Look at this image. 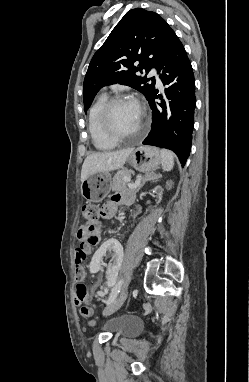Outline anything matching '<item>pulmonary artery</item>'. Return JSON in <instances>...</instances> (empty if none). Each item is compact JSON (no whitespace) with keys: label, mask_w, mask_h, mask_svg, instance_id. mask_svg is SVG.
Masks as SVG:
<instances>
[{"label":"pulmonary artery","mask_w":249,"mask_h":382,"mask_svg":"<svg viewBox=\"0 0 249 382\" xmlns=\"http://www.w3.org/2000/svg\"><path fill=\"white\" fill-rule=\"evenodd\" d=\"M150 76H151V77H154V78L156 79V82H157V85H158V86H161V85H162V82H161V80H160V78H159V75L157 74V72H156L155 70H152V71L150 72Z\"/></svg>","instance_id":"pulmonary-artery-1"}]
</instances>
